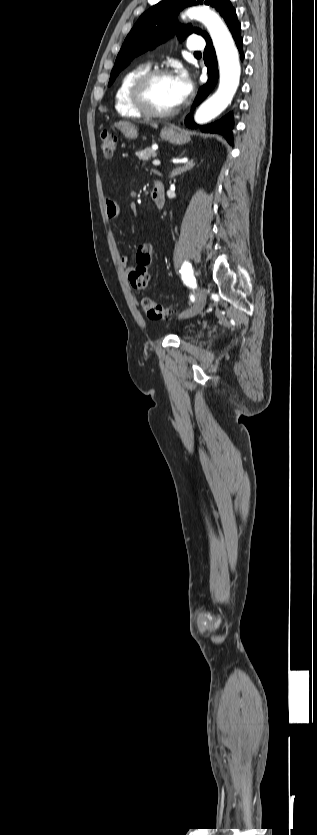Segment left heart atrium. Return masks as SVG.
Returning <instances> with one entry per match:
<instances>
[{"label": "left heart atrium", "instance_id": "39dd6f15", "mask_svg": "<svg viewBox=\"0 0 317 835\" xmlns=\"http://www.w3.org/2000/svg\"><path fill=\"white\" fill-rule=\"evenodd\" d=\"M173 86L177 104L183 102L192 90V83L185 71L173 77Z\"/></svg>", "mask_w": 317, "mask_h": 835}]
</instances>
